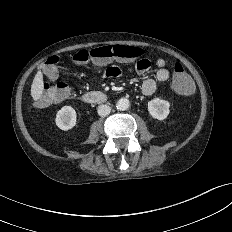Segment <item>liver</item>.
Here are the masks:
<instances>
[{"instance_id":"1","label":"liver","mask_w":232,"mask_h":232,"mask_svg":"<svg viewBox=\"0 0 232 232\" xmlns=\"http://www.w3.org/2000/svg\"><path fill=\"white\" fill-rule=\"evenodd\" d=\"M42 93H43V74L39 70L36 73L33 83L31 85V96L35 101H37L40 99Z\"/></svg>"}]
</instances>
